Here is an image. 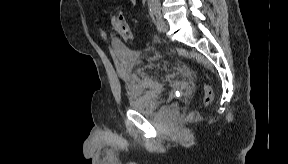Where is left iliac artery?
I'll return each instance as SVG.
<instances>
[{
	"instance_id": "left-iliac-artery-1",
	"label": "left iliac artery",
	"mask_w": 288,
	"mask_h": 164,
	"mask_svg": "<svg viewBox=\"0 0 288 164\" xmlns=\"http://www.w3.org/2000/svg\"><path fill=\"white\" fill-rule=\"evenodd\" d=\"M148 6H149L150 11L156 17H160L161 5H160L159 0H148Z\"/></svg>"
}]
</instances>
